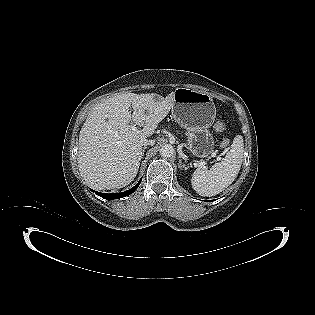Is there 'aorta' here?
I'll list each match as a JSON object with an SVG mask.
<instances>
[{"label":"aorta","instance_id":"762f6f07","mask_svg":"<svg viewBox=\"0 0 315 315\" xmlns=\"http://www.w3.org/2000/svg\"><path fill=\"white\" fill-rule=\"evenodd\" d=\"M159 153L162 157H171L174 153V148L172 145H164L161 147Z\"/></svg>","mask_w":315,"mask_h":315}]
</instances>
